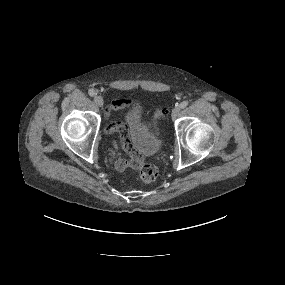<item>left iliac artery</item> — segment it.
Segmentation results:
<instances>
[{"instance_id":"1","label":"left iliac artery","mask_w":285,"mask_h":285,"mask_svg":"<svg viewBox=\"0 0 285 285\" xmlns=\"http://www.w3.org/2000/svg\"><path fill=\"white\" fill-rule=\"evenodd\" d=\"M188 106V101H183L181 102L180 104V107L183 109V108H186Z\"/></svg>"}]
</instances>
